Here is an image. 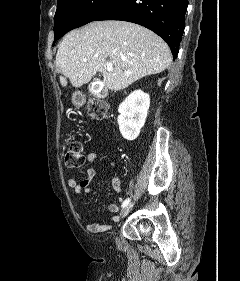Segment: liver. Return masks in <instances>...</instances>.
I'll return each instance as SVG.
<instances>
[{"mask_svg": "<svg viewBox=\"0 0 240 281\" xmlns=\"http://www.w3.org/2000/svg\"><path fill=\"white\" fill-rule=\"evenodd\" d=\"M171 62V51L163 39L145 27L125 21H96L69 32L55 60L63 75V87L69 79L73 87L79 88L100 72L106 88L113 91L161 73ZM108 63H112V71L106 69Z\"/></svg>", "mask_w": 240, "mask_h": 281, "instance_id": "liver-1", "label": "liver"}]
</instances>
